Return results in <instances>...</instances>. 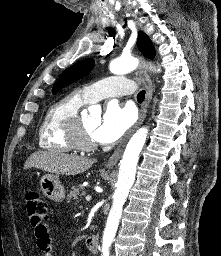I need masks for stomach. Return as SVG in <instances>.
Masks as SVG:
<instances>
[{
    "mask_svg": "<svg viewBox=\"0 0 221 256\" xmlns=\"http://www.w3.org/2000/svg\"><path fill=\"white\" fill-rule=\"evenodd\" d=\"M42 193L53 201L61 202L65 198V189L58 176L45 174L40 179Z\"/></svg>",
    "mask_w": 221,
    "mask_h": 256,
    "instance_id": "obj_1",
    "label": "stomach"
}]
</instances>
